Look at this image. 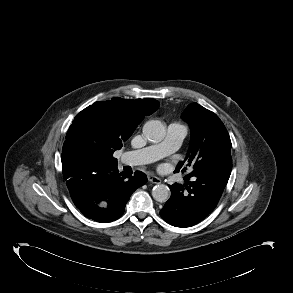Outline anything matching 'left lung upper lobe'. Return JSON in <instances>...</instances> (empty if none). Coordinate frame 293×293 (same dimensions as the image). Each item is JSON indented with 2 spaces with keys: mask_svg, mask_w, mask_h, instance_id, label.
Here are the masks:
<instances>
[{
  "mask_svg": "<svg viewBox=\"0 0 293 293\" xmlns=\"http://www.w3.org/2000/svg\"><path fill=\"white\" fill-rule=\"evenodd\" d=\"M181 118L191 128V144L180 170L187 161L190 166L189 177L196 174H211L229 179L232 170L231 140L219 117L197 103H191L183 111ZM187 170L186 167L182 172Z\"/></svg>",
  "mask_w": 293,
  "mask_h": 293,
  "instance_id": "left-lung-upper-lobe-1",
  "label": "left lung upper lobe"
}]
</instances>
